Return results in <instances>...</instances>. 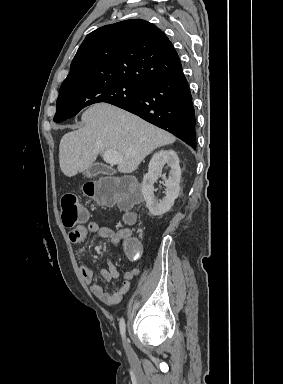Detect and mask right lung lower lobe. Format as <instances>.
I'll return each mask as SVG.
<instances>
[{
    "label": "right lung lower lobe",
    "instance_id": "98d812e1",
    "mask_svg": "<svg viewBox=\"0 0 283 384\" xmlns=\"http://www.w3.org/2000/svg\"><path fill=\"white\" fill-rule=\"evenodd\" d=\"M114 105L172 133L196 149L195 111L182 70L143 85L137 98Z\"/></svg>",
    "mask_w": 283,
    "mask_h": 384
}]
</instances>
